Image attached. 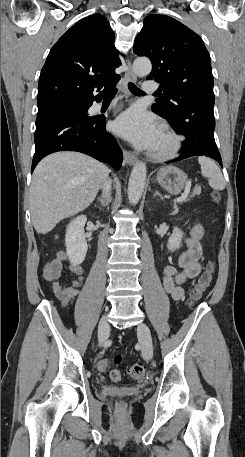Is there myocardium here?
Listing matches in <instances>:
<instances>
[{
	"label": "myocardium",
	"instance_id": "1",
	"mask_svg": "<svg viewBox=\"0 0 245 457\" xmlns=\"http://www.w3.org/2000/svg\"><path fill=\"white\" fill-rule=\"evenodd\" d=\"M161 137L164 142L155 145L152 149L151 155L154 159L163 160L175 156L181 147L180 137L171 129L163 128Z\"/></svg>",
	"mask_w": 245,
	"mask_h": 457
}]
</instances>
